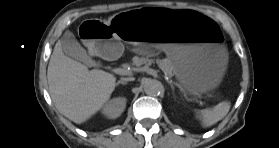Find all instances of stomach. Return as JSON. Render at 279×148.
Instances as JSON below:
<instances>
[{"label": "stomach", "mask_w": 279, "mask_h": 148, "mask_svg": "<svg viewBox=\"0 0 279 148\" xmlns=\"http://www.w3.org/2000/svg\"><path fill=\"white\" fill-rule=\"evenodd\" d=\"M75 39L84 50L116 59L122 43L165 50L173 75L187 94L200 96L220 83L228 65L229 44L224 30L208 17L171 6H145L112 16L82 20Z\"/></svg>", "instance_id": "0dacf381"}]
</instances>
